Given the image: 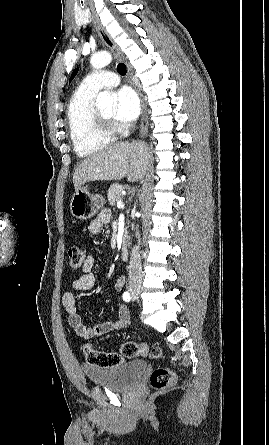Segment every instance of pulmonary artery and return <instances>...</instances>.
Instances as JSON below:
<instances>
[{"label":"pulmonary artery","instance_id":"obj_1","mask_svg":"<svg viewBox=\"0 0 269 445\" xmlns=\"http://www.w3.org/2000/svg\"><path fill=\"white\" fill-rule=\"evenodd\" d=\"M120 82L116 73L111 71H96L87 75L81 82L80 87L85 90L98 92L103 88H110Z\"/></svg>","mask_w":269,"mask_h":445}]
</instances>
